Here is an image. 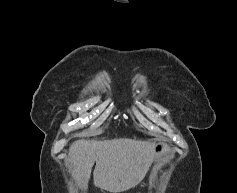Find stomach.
Segmentation results:
<instances>
[{"label":"stomach","mask_w":237,"mask_h":193,"mask_svg":"<svg viewBox=\"0 0 237 193\" xmlns=\"http://www.w3.org/2000/svg\"><path fill=\"white\" fill-rule=\"evenodd\" d=\"M172 153V148L166 142H159L154 147V160H160Z\"/></svg>","instance_id":"stomach-1"}]
</instances>
